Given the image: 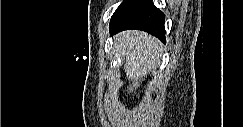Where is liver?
<instances>
[{"label": "liver", "mask_w": 243, "mask_h": 127, "mask_svg": "<svg viewBox=\"0 0 243 127\" xmlns=\"http://www.w3.org/2000/svg\"><path fill=\"white\" fill-rule=\"evenodd\" d=\"M115 47L125 61L124 70L133 92L140 86L144 76L153 72L159 63L160 42L151 35L141 31H125L115 39Z\"/></svg>", "instance_id": "liver-1"}]
</instances>
